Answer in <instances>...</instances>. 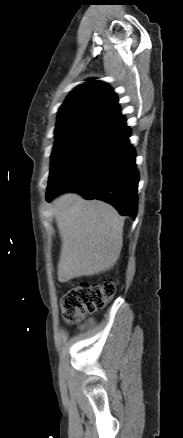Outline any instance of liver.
Masks as SVG:
<instances>
[{"mask_svg": "<svg viewBox=\"0 0 183 438\" xmlns=\"http://www.w3.org/2000/svg\"><path fill=\"white\" fill-rule=\"evenodd\" d=\"M62 240L58 280L67 282L110 270L123 245L124 220L111 205L67 193L53 201Z\"/></svg>", "mask_w": 183, "mask_h": 438, "instance_id": "1", "label": "liver"}]
</instances>
